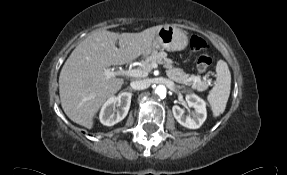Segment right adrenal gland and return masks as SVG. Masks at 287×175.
Listing matches in <instances>:
<instances>
[{
  "label": "right adrenal gland",
  "instance_id": "1",
  "mask_svg": "<svg viewBox=\"0 0 287 175\" xmlns=\"http://www.w3.org/2000/svg\"><path fill=\"white\" fill-rule=\"evenodd\" d=\"M127 89H129L130 92H133V90L130 87H128Z\"/></svg>",
  "mask_w": 287,
  "mask_h": 175
}]
</instances>
